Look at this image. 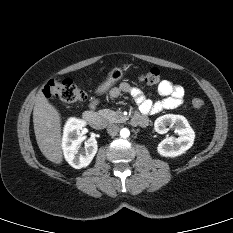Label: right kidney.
I'll use <instances>...</instances> for the list:
<instances>
[{
    "label": "right kidney",
    "instance_id": "right-kidney-1",
    "mask_svg": "<svg viewBox=\"0 0 233 233\" xmlns=\"http://www.w3.org/2000/svg\"><path fill=\"white\" fill-rule=\"evenodd\" d=\"M86 122L77 118H69L63 129L62 149L66 161L76 169L87 167L98 150L97 141L89 138L85 141V148L80 151L82 144V129Z\"/></svg>",
    "mask_w": 233,
    "mask_h": 233
}]
</instances>
